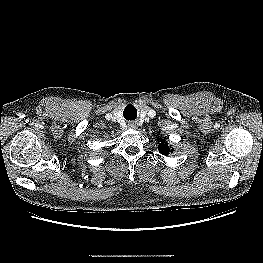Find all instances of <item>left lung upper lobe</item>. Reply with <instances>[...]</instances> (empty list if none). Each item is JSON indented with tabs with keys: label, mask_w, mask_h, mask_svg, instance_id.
<instances>
[{
	"label": "left lung upper lobe",
	"mask_w": 263,
	"mask_h": 263,
	"mask_svg": "<svg viewBox=\"0 0 263 263\" xmlns=\"http://www.w3.org/2000/svg\"><path fill=\"white\" fill-rule=\"evenodd\" d=\"M159 144V152L163 155H168L170 152H172L171 147L168 146L167 142H164V140H160Z\"/></svg>",
	"instance_id": "1"
}]
</instances>
